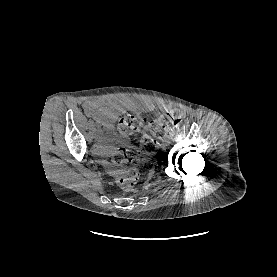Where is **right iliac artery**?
<instances>
[{"instance_id":"obj_1","label":"right iliac artery","mask_w":277,"mask_h":277,"mask_svg":"<svg viewBox=\"0 0 277 277\" xmlns=\"http://www.w3.org/2000/svg\"><path fill=\"white\" fill-rule=\"evenodd\" d=\"M94 133L97 134V135H99V134H100V130H99L98 128H96V129L94 130Z\"/></svg>"}]
</instances>
